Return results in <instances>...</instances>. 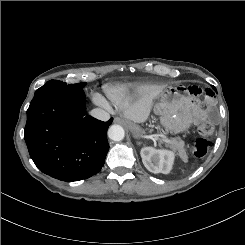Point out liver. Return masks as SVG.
<instances>
[{
	"label": "liver",
	"instance_id": "6515ba94",
	"mask_svg": "<svg viewBox=\"0 0 245 245\" xmlns=\"http://www.w3.org/2000/svg\"><path fill=\"white\" fill-rule=\"evenodd\" d=\"M161 90L162 87L158 86L144 87L141 97L135 103L125 106V118L136 123L145 122L150 115L153 100L158 96Z\"/></svg>",
	"mask_w": 245,
	"mask_h": 245
}]
</instances>
